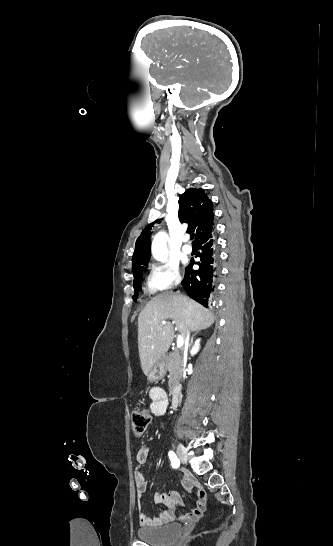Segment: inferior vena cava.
<instances>
[{"instance_id":"obj_1","label":"inferior vena cava","mask_w":333,"mask_h":546,"mask_svg":"<svg viewBox=\"0 0 333 546\" xmlns=\"http://www.w3.org/2000/svg\"><path fill=\"white\" fill-rule=\"evenodd\" d=\"M189 339H190V331H187L186 337H185V350L189 347Z\"/></svg>"}]
</instances>
